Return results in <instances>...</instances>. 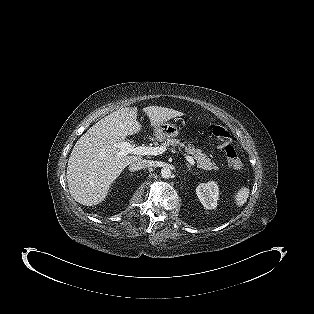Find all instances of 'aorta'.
Segmentation results:
<instances>
[{
  "label": "aorta",
  "mask_w": 314,
  "mask_h": 314,
  "mask_svg": "<svg viewBox=\"0 0 314 314\" xmlns=\"http://www.w3.org/2000/svg\"><path fill=\"white\" fill-rule=\"evenodd\" d=\"M172 176L171 169L169 167H163L161 169V177L164 179H169Z\"/></svg>",
  "instance_id": "aorta-1"
}]
</instances>
